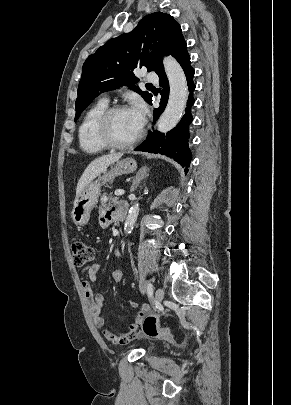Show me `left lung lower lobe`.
<instances>
[{
  "label": "left lung lower lobe",
  "instance_id": "obj_1",
  "mask_svg": "<svg viewBox=\"0 0 291 405\" xmlns=\"http://www.w3.org/2000/svg\"><path fill=\"white\" fill-rule=\"evenodd\" d=\"M171 55L175 57V59L180 63L187 78V84L189 87L188 90L190 94L187 101V107L185 108V115L182 117L178 125L166 134L158 131L150 133L147 139L140 146H138L135 151L160 153L173 158L182 166L189 167L192 156L188 146V127L193 120L190 111L191 106L195 102L192 96V92L195 90L196 86L193 82L194 69L190 65V56L187 52L186 41L184 39L178 43ZM155 72L160 77L159 83L163 89L160 92V94L162 95L160 107L154 109V121H156L157 118L164 111L169 96V83L164 71V67H160ZM151 102L152 98L149 103L151 104ZM187 172L188 169H185V173Z\"/></svg>",
  "mask_w": 291,
  "mask_h": 405
}]
</instances>
